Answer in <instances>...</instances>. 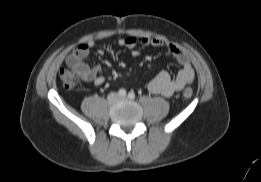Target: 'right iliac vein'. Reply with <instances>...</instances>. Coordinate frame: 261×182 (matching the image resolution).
I'll list each match as a JSON object with an SVG mask.
<instances>
[{
    "instance_id": "right-iliac-vein-1",
    "label": "right iliac vein",
    "mask_w": 261,
    "mask_h": 182,
    "mask_svg": "<svg viewBox=\"0 0 261 182\" xmlns=\"http://www.w3.org/2000/svg\"><path fill=\"white\" fill-rule=\"evenodd\" d=\"M116 100H117V96H116L115 94H111V95L108 97V102H109V103H114Z\"/></svg>"
}]
</instances>
